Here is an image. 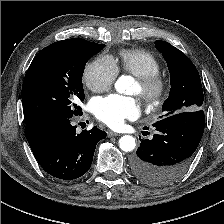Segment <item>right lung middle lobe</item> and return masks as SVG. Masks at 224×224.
<instances>
[{
	"label": "right lung middle lobe",
	"instance_id": "1",
	"mask_svg": "<svg viewBox=\"0 0 224 224\" xmlns=\"http://www.w3.org/2000/svg\"><path fill=\"white\" fill-rule=\"evenodd\" d=\"M105 47L84 40L80 44H51L33 59L22 85L25 123L47 115L72 117L84 101L82 75L86 62Z\"/></svg>",
	"mask_w": 224,
	"mask_h": 224
}]
</instances>
